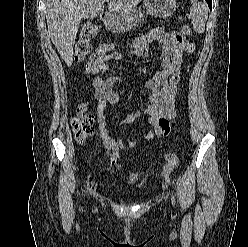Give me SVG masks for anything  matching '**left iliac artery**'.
Segmentation results:
<instances>
[{"label":"left iliac artery","mask_w":248,"mask_h":247,"mask_svg":"<svg viewBox=\"0 0 248 247\" xmlns=\"http://www.w3.org/2000/svg\"><path fill=\"white\" fill-rule=\"evenodd\" d=\"M171 201H172V205H175V198L173 195L171 196Z\"/></svg>","instance_id":"1"}]
</instances>
